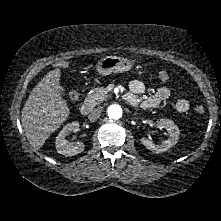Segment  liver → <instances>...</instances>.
Instances as JSON below:
<instances>
[{
	"instance_id": "6515ba94",
	"label": "liver",
	"mask_w": 221,
	"mask_h": 221,
	"mask_svg": "<svg viewBox=\"0 0 221 221\" xmlns=\"http://www.w3.org/2000/svg\"><path fill=\"white\" fill-rule=\"evenodd\" d=\"M61 72H48L34 87L22 109V126L30 145L39 150L68 118L70 110L61 97Z\"/></svg>"
}]
</instances>
